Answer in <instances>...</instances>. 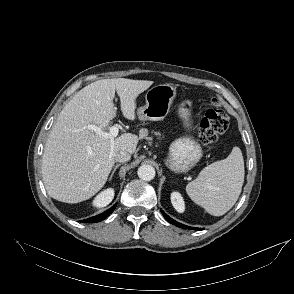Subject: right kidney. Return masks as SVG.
<instances>
[{"mask_svg":"<svg viewBox=\"0 0 294 294\" xmlns=\"http://www.w3.org/2000/svg\"><path fill=\"white\" fill-rule=\"evenodd\" d=\"M114 198V189L108 188L99 193L92 202V205L97 208L107 206Z\"/></svg>","mask_w":294,"mask_h":294,"instance_id":"ca27d5eb","label":"right kidney"}]
</instances>
